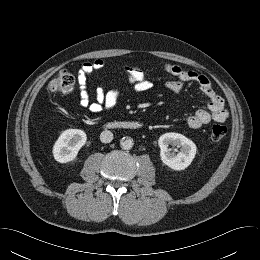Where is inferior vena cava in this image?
I'll return each mask as SVG.
<instances>
[{
    "label": "inferior vena cava",
    "mask_w": 260,
    "mask_h": 260,
    "mask_svg": "<svg viewBox=\"0 0 260 260\" xmlns=\"http://www.w3.org/2000/svg\"><path fill=\"white\" fill-rule=\"evenodd\" d=\"M113 140V133L109 130H105L100 134V141L103 143H109Z\"/></svg>",
    "instance_id": "602c4592"
}]
</instances>
